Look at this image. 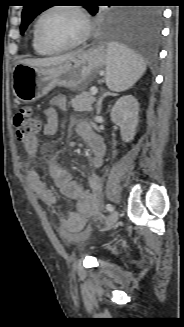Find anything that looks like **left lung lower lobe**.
Masks as SVG:
<instances>
[{
  "label": "left lung lower lobe",
  "mask_w": 184,
  "mask_h": 327,
  "mask_svg": "<svg viewBox=\"0 0 184 327\" xmlns=\"http://www.w3.org/2000/svg\"><path fill=\"white\" fill-rule=\"evenodd\" d=\"M161 17L162 12L157 7L138 9L130 20L116 31L114 39L126 49L153 56L157 53Z\"/></svg>",
  "instance_id": "obj_1"
}]
</instances>
